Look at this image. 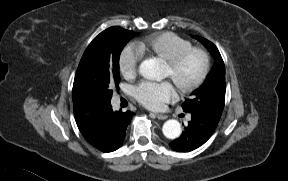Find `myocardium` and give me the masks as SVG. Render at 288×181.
Masks as SVG:
<instances>
[{"mask_svg":"<svg viewBox=\"0 0 288 181\" xmlns=\"http://www.w3.org/2000/svg\"><path fill=\"white\" fill-rule=\"evenodd\" d=\"M191 54H198L202 58V69L199 76L193 82L179 88L182 93H190L199 88L205 82L209 74L211 64L208 51L202 47L191 46L165 60V65L173 70L177 68Z\"/></svg>","mask_w":288,"mask_h":181,"instance_id":"f54148a6","label":"myocardium"}]
</instances>
